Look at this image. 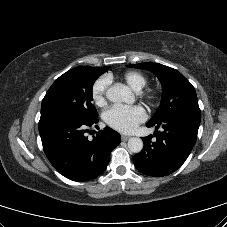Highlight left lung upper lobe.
Segmentation results:
<instances>
[{"mask_svg":"<svg viewBox=\"0 0 227 227\" xmlns=\"http://www.w3.org/2000/svg\"><path fill=\"white\" fill-rule=\"evenodd\" d=\"M128 67L150 70L162 84L161 104L149 123H157L184 113L200 114L194 87L176 69L151 62Z\"/></svg>","mask_w":227,"mask_h":227,"instance_id":"left-lung-upper-lobe-1","label":"left lung upper lobe"}]
</instances>
